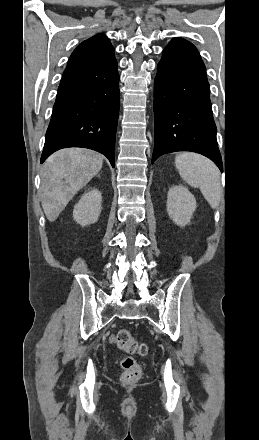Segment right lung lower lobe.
<instances>
[{
    "instance_id": "right-lung-lower-lobe-1",
    "label": "right lung lower lobe",
    "mask_w": 259,
    "mask_h": 440,
    "mask_svg": "<svg viewBox=\"0 0 259 440\" xmlns=\"http://www.w3.org/2000/svg\"><path fill=\"white\" fill-rule=\"evenodd\" d=\"M118 83L114 56L94 65L65 69L46 132L41 163L59 149L83 147L102 153L114 167Z\"/></svg>"
}]
</instances>
